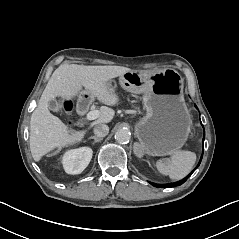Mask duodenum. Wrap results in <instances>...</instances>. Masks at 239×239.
Here are the masks:
<instances>
[{
    "instance_id": "1",
    "label": "duodenum",
    "mask_w": 239,
    "mask_h": 239,
    "mask_svg": "<svg viewBox=\"0 0 239 239\" xmlns=\"http://www.w3.org/2000/svg\"><path fill=\"white\" fill-rule=\"evenodd\" d=\"M89 107H90V99L87 96L81 97L77 104L78 112L84 115L87 113Z\"/></svg>"
}]
</instances>
